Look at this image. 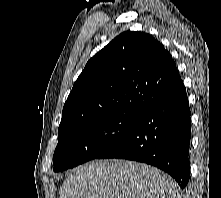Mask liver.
<instances>
[{
    "label": "liver",
    "mask_w": 221,
    "mask_h": 198,
    "mask_svg": "<svg viewBox=\"0 0 221 198\" xmlns=\"http://www.w3.org/2000/svg\"><path fill=\"white\" fill-rule=\"evenodd\" d=\"M172 177L143 163L94 160L72 170L59 198H181Z\"/></svg>",
    "instance_id": "liver-1"
}]
</instances>
